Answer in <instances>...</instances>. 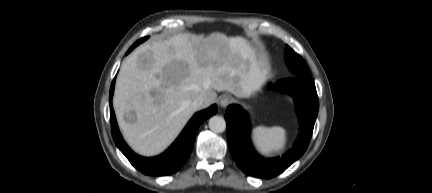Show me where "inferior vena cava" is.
I'll return each instance as SVG.
<instances>
[{
    "label": "inferior vena cava",
    "instance_id": "obj_1",
    "mask_svg": "<svg viewBox=\"0 0 432 193\" xmlns=\"http://www.w3.org/2000/svg\"><path fill=\"white\" fill-rule=\"evenodd\" d=\"M204 103H205V99H204V97H202V96H198L196 99H194L192 102H191V107L194 109V110H198V109H200L203 105H204Z\"/></svg>",
    "mask_w": 432,
    "mask_h": 193
}]
</instances>
